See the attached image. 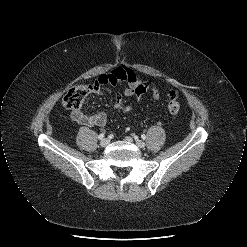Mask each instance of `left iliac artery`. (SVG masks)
<instances>
[{"instance_id": "44dca946", "label": "left iliac artery", "mask_w": 247, "mask_h": 247, "mask_svg": "<svg viewBox=\"0 0 247 247\" xmlns=\"http://www.w3.org/2000/svg\"><path fill=\"white\" fill-rule=\"evenodd\" d=\"M141 138H142L143 140H145V139H146V136H145L144 134H142V135H141Z\"/></svg>"}]
</instances>
